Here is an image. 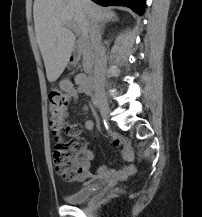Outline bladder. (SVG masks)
<instances>
[{"mask_svg":"<svg viewBox=\"0 0 202 217\" xmlns=\"http://www.w3.org/2000/svg\"><path fill=\"white\" fill-rule=\"evenodd\" d=\"M93 182H87L71 194L65 196V200L70 204H80L88 200L93 195Z\"/></svg>","mask_w":202,"mask_h":217,"instance_id":"obj_1","label":"bladder"}]
</instances>
